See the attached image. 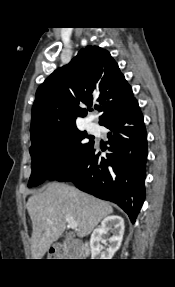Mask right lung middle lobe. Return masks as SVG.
I'll use <instances>...</instances> for the list:
<instances>
[{
	"label": "right lung middle lobe",
	"mask_w": 175,
	"mask_h": 287,
	"mask_svg": "<svg viewBox=\"0 0 175 287\" xmlns=\"http://www.w3.org/2000/svg\"><path fill=\"white\" fill-rule=\"evenodd\" d=\"M87 137L86 132L72 128L32 143V174L28 187L56 180L79 166L94 145L93 141L83 142ZM62 150L66 155H61Z\"/></svg>",
	"instance_id": "right-lung-middle-lobe-1"
}]
</instances>
